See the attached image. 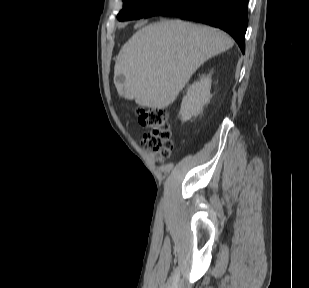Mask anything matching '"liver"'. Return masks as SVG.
<instances>
[{
	"mask_svg": "<svg viewBox=\"0 0 309 288\" xmlns=\"http://www.w3.org/2000/svg\"><path fill=\"white\" fill-rule=\"evenodd\" d=\"M233 46L219 29L165 20L139 29L120 50L114 84L120 96L162 109L177 98L196 70Z\"/></svg>",
	"mask_w": 309,
	"mask_h": 288,
	"instance_id": "liver-1",
	"label": "liver"
}]
</instances>
